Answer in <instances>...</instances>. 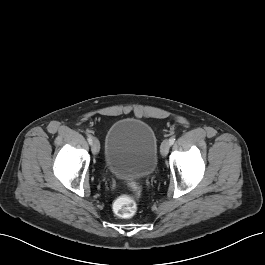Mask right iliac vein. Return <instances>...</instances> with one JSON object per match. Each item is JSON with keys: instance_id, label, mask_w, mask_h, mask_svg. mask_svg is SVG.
<instances>
[{"instance_id": "63e3f726", "label": "right iliac vein", "mask_w": 265, "mask_h": 265, "mask_svg": "<svg viewBox=\"0 0 265 265\" xmlns=\"http://www.w3.org/2000/svg\"><path fill=\"white\" fill-rule=\"evenodd\" d=\"M99 149H100L99 141L96 138H94L93 141H92V144H91L92 153L94 155H97L98 152H99Z\"/></svg>"}]
</instances>
